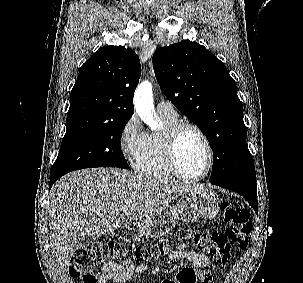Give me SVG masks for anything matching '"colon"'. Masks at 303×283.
<instances>
[{
    "instance_id": "obj_1",
    "label": "colon",
    "mask_w": 303,
    "mask_h": 283,
    "mask_svg": "<svg viewBox=\"0 0 303 283\" xmlns=\"http://www.w3.org/2000/svg\"><path fill=\"white\" fill-rule=\"evenodd\" d=\"M221 213L227 225L225 230L197 231L191 234V237L213 260L225 263L233 249L247 245V236L252 224L246 208L228 201L221 204ZM168 251L169 245L166 243L132 247L116 241H107L77 251L69 264V275L74 279L81 278L84 283H96L104 266L110 262L124 260L145 263L164 257ZM201 276L202 272L187 267L163 283H201Z\"/></svg>"
}]
</instances>
